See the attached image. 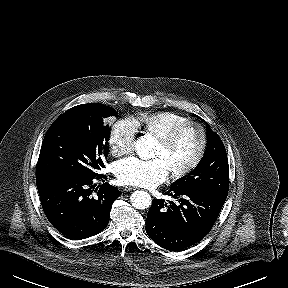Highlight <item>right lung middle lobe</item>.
<instances>
[{
    "label": "right lung middle lobe",
    "instance_id": "right-lung-middle-lobe-1",
    "mask_svg": "<svg viewBox=\"0 0 288 288\" xmlns=\"http://www.w3.org/2000/svg\"><path fill=\"white\" fill-rule=\"evenodd\" d=\"M116 111L104 104L75 106L60 115L48 129L42 143L36 178L67 175L93 179L104 168L108 155L110 127L106 120Z\"/></svg>",
    "mask_w": 288,
    "mask_h": 288
}]
</instances>
